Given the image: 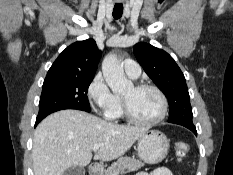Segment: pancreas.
<instances>
[{
  "instance_id": "1",
  "label": "pancreas",
  "mask_w": 233,
  "mask_h": 175,
  "mask_svg": "<svg viewBox=\"0 0 233 175\" xmlns=\"http://www.w3.org/2000/svg\"><path fill=\"white\" fill-rule=\"evenodd\" d=\"M144 166L140 160L128 156L119 158L101 175H120L125 172L135 171Z\"/></svg>"
}]
</instances>
